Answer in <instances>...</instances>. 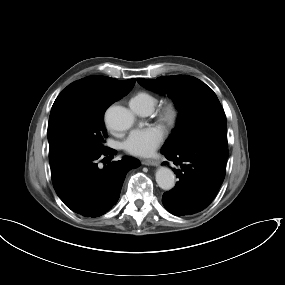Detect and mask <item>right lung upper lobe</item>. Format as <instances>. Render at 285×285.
I'll return each instance as SVG.
<instances>
[{
  "mask_svg": "<svg viewBox=\"0 0 285 285\" xmlns=\"http://www.w3.org/2000/svg\"><path fill=\"white\" fill-rule=\"evenodd\" d=\"M84 79L105 86L107 90H109L110 92L121 98L125 96L133 88L136 82V79L119 81L114 78L105 77V76H88L85 77Z\"/></svg>",
  "mask_w": 285,
  "mask_h": 285,
  "instance_id": "cb5924a9",
  "label": "right lung upper lobe"
}]
</instances>
